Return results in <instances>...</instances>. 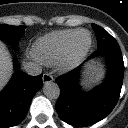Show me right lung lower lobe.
Segmentation results:
<instances>
[{
	"label": "right lung lower lobe",
	"mask_w": 128,
	"mask_h": 128,
	"mask_svg": "<svg viewBox=\"0 0 128 128\" xmlns=\"http://www.w3.org/2000/svg\"><path fill=\"white\" fill-rule=\"evenodd\" d=\"M41 86L42 75L30 76L20 71L14 74L0 94V128L15 126L25 118L31 100Z\"/></svg>",
	"instance_id": "98d812e1"
}]
</instances>
